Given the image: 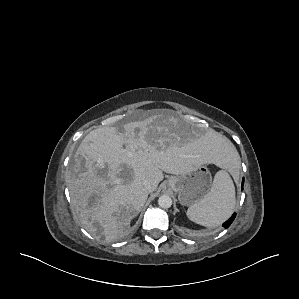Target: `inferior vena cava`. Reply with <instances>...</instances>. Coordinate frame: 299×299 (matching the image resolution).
Returning <instances> with one entry per match:
<instances>
[{"label":"inferior vena cava","instance_id":"inferior-vena-cava-1","mask_svg":"<svg viewBox=\"0 0 299 299\" xmlns=\"http://www.w3.org/2000/svg\"><path fill=\"white\" fill-rule=\"evenodd\" d=\"M143 186H144V188L150 193V192H152V187H151V184H150V182L148 181V180H145L144 182H143Z\"/></svg>","mask_w":299,"mask_h":299}]
</instances>
